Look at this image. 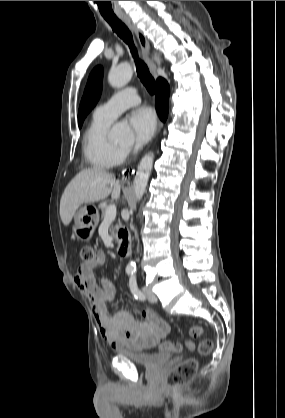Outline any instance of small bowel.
I'll return each mask as SVG.
<instances>
[{"label": "small bowel", "mask_w": 285, "mask_h": 418, "mask_svg": "<svg viewBox=\"0 0 285 418\" xmlns=\"http://www.w3.org/2000/svg\"><path fill=\"white\" fill-rule=\"evenodd\" d=\"M105 255L97 253L92 263H82L74 274V282L86 293L101 337L113 348L134 350L155 347L159 340L171 331L170 324L154 312L145 309L140 312L142 320L127 310L109 313L107 302L115 299L116 293L105 277L96 275V268L105 264ZM188 350H195V343L188 341Z\"/></svg>", "instance_id": "c3829d8e"}]
</instances>
